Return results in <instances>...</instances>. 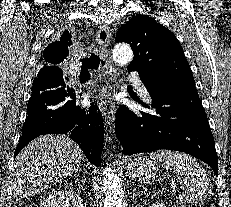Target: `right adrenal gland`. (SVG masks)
<instances>
[{
    "instance_id": "2a0ac1e0",
    "label": "right adrenal gland",
    "mask_w": 231,
    "mask_h": 207,
    "mask_svg": "<svg viewBox=\"0 0 231 207\" xmlns=\"http://www.w3.org/2000/svg\"><path fill=\"white\" fill-rule=\"evenodd\" d=\"M75 174H76L77 177H80V175H79V167L76 168Z\"/></svg>"
}]
</instances>
